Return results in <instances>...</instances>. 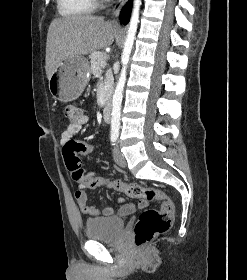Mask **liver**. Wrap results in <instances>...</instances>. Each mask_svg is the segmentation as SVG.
Masks as SVG:
<instances>
[{
	"instance_id": "liver-1",
	"label": "liver",
	"mask_w": 247,
	"mask_h": 280,
	"mask_svg": "<svg viewBox=\"0 0 247 280\" xmlns=\"http://www.w3.org/2000/svg\"><path fill=\"white\" fill-rule=\"evenodd\" d=\"M116 34V25L103 17L75 15L54 19L46 43L48 80L62 61L104 49L113 43Z\"/></svg>"
}]
</instances>
